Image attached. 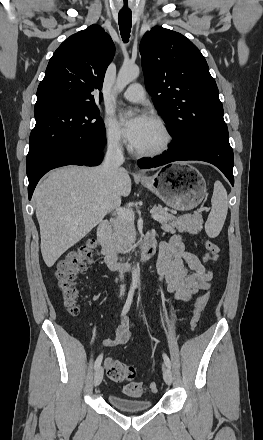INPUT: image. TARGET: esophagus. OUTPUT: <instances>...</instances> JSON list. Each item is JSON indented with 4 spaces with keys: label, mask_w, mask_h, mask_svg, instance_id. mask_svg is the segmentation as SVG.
Returning <instances> with one entry per match:
<instances>
[{
    "label": "esophagus",
    "mask_w": 263,
    "mask_h": 440,
    "mask_svg": "<svg viewBox=\"0 0 263 440\" xmlns=\"http://www.w3.org/2000/svg\"><path fill=\"white\" fill-rule=\"evenodd\" d=\"M134 176H135V177H141V176H142V173L136 169V170H135V173H134Z\"/></svg>",
    "instance_id": "1"
}]
</instances>
